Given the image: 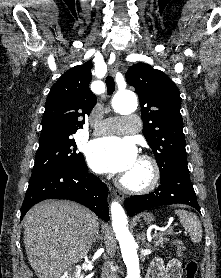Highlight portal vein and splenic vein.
<instances>
[{"label": "portal vein and splenic vein", "instance_id": "obj_1", "mask_svg": "<svg viewBox=\"0 0 221 278\" xmlns=\"http://www.w3.org/2000/svg\"><path fill=\"white\" fill-rule=\"evenodd\" d=\"M168 231H169V232H172V231H173V229H172V228H170V229H168ZM155 235H156V234H154V235H153V237H154Z\"/></svg>", "mask_w": 221, "mask_h": 278}]
</instances>
